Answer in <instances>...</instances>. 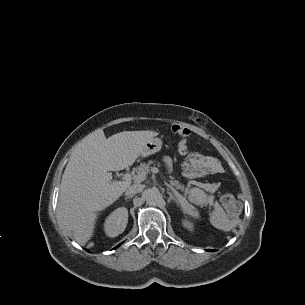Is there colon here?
Masks as SVG:
<instances>
[{
  "mask_svg": "<svg viewBox=\"0 0 305 305\" xmlns=\"http://www.w3.org/2000/svg\"><path fill=\"white\" fill-rule=\"evenodd\" d=\"M173 133L180 137L179 145L181 148L186 146V138L190 135L189 129L180 125H172ZM221 203L230 217H235L240 212V204L232 194H225L221 198Z\"/></svg>",
  "mask_w": 305,
  "mask_h": 305,
  "instance_id": "obj_1",
  "label": "colon"
}]
</instances>
